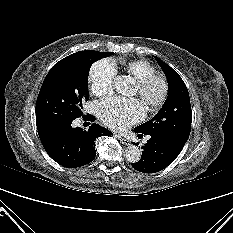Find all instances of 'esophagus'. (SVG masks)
<instances>
[{
	"instance_id": "34e87169",
	"label": "esophagus",
	"mask_w": 233,
	"mask_h": 233,
	"mask_svg": "<svg viewBox=\"0 0 233 233\" xmlns=\"http://www.w3.org/2000/svg\"><path fill=\"white\" fill-rule=\"evenodd\" d=\"M119 137V140L122 144L124 145H129L130 144V140L125 138V137H122V136H118Z\"/></svg>"
}]
</instances>
